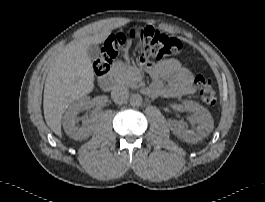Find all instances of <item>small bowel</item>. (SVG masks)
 <instances>
[{"instance_id":"small-bowel-1","label":"small bowel","mask_w":265,"mask_h":202,"mask_svg":"<svg viewBox=\"0 0 265 202\" xmlns=\"http://www.w3.org/2000/svg\"><path fill=\"white\" fill-rule=\"evenodd\" d=\"M153 79L149 86L151 96H184L195 91L192 71L176 59H167L157 64L141 65Z\"/></svg>"}]
</instances>
